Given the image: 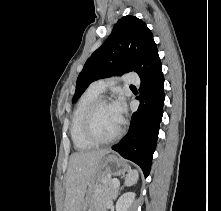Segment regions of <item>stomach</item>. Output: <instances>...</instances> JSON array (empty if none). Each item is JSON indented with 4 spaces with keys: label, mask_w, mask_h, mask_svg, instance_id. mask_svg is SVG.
<instances>
[{
    "label": "stomach",
    "mask_w": 221,
    "mask_h": 211,
    "mask_svg": "<svg viewBox=\"0 0 221 211\" xmlns=\"http://www.w3.org/2000/svg\"><path fill=\"white\" fill-rule=\"evenodd\" d=\"M129 170L128 163L116 155L107 154L103 156L97 165L96 172L89 181L83 203L79 211H94L92 204L93 190L104 179L112 176H120Z\"/></svg>",
    "instance_id": "0dacf381"
}]
</instances>
